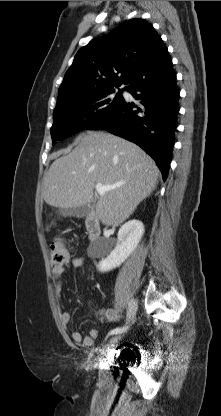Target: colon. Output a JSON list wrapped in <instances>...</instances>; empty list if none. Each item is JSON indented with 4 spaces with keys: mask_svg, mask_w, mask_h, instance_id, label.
<instances>
[{
    "mask_svg": "<svg viewBox=\"0 0 221 416\" xmlns=\"http://www.w3.org/2000/svg\"><path fill=\"white\" fill-rule=\"evenodd\" d=\"M50 257L54 265H63L70 257V249L67 243L57 238L50 244Z\"/></svg>",
    "mask_w": 221,
    "mask_h": 416,
    "instance_id": "5ec220e1",
    "label": "colon"
}]
</instances>
